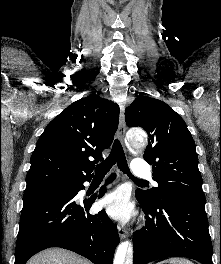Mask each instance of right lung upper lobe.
I'll return each mask as SVG.
<instances>
[{
    "label": "right lung upper lobe",
    "instance_id": "obj_1",
    "mask_svg": "<svg viewBox=\"0 0 221 264\" xmlns=\"http://www.w3.org/2000/svg\"><path fill=\"white\" fill-rule=\"evenodd\" d=\"M118 120L119 106L98 95L69 105L40 136L31 156L26 189L90 180L93 166L103 160L102 151L112 143Z\"/></svg>",
    "mask_w": 221,
    "mask_h": 264
}]
</instances>
